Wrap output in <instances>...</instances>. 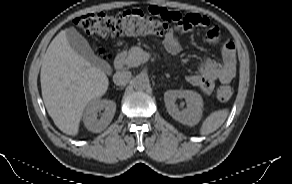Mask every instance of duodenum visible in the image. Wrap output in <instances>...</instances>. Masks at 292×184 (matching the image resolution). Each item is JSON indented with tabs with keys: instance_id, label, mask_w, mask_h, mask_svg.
<instances>
[{
	"instance_id": "duodenum-1",
	"label": "duodenum",
	"mask_w": 292,
	"mask_h": 184,
	"mask_svg": "<svg viewBox=\"0 0 292 184\" xmlns=\"http://www.w3.org/2000/svg\"><path fill=\"white\" fill-rule=\"evenodd\" d=\"M125 55L123 51H120L116 54L114 58V66L117 70H121L124 65Z\"/></svg>"
}]
</instances>
